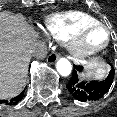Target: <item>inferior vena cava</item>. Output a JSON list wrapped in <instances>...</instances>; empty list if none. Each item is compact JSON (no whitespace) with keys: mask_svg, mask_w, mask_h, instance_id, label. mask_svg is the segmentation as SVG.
Returning <instances> with one entry per match:
<instances>
[{"mask_svg":"<svg viewBox=\"0 0 117 117\" xmlns=\"http://www.w3.org/2000/svg\"><path fill=\"white\" fill-rule=\"evenodd\" d=\"M32 56L36 57L37 59H43L47 56V47L43 42H37L34 44L31 50Z\"/></svg>","mask_w":117,"mask_h":117,"instance_id":"inferior-vena-cava-1","label":"inferior vena cava"}]
</instances>
